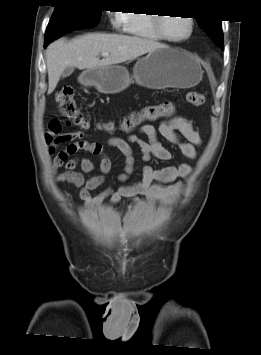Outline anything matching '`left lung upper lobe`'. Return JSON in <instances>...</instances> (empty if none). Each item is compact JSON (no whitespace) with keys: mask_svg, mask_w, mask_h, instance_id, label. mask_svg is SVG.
I'll return each instance as SVG.
<instances>
[{"mask_svg":"<svg viewBox=\"0 0 261 355\" xmlns=\"http://www.w3.org/2000/svg\"><path fill=\"white\" fill-rule=\"evenodd\" d=\"M199 26L219 47L223 48V32L221 20L196 18Z\"/></svg>","mask_w":261,"mask_h":355,"instance_id":"obj_1","label":"left lung upper lobe"}]
</instances>
